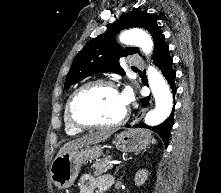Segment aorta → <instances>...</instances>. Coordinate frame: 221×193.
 <instances>
[{"mask_svg": "<svg viewBox=\"0 0 221 193\" xmlns=\"http://www.w3.org/2000/svg\"><path fill=\"white\" fill-rule=\"evenodd\" d=\"M120 41L126 45L139 46L145 54H150L153 50L151 37L141 29L123 32L120 35ZM147 76L156 107L146 114L145 123L155 126L162 123L171 113L173 98L166 81L154 67H148Z\"/></svg>", "mask_w": 221, "mask_h": 193, "instance_id": "1", "label": "aorta"}]
</instances>
